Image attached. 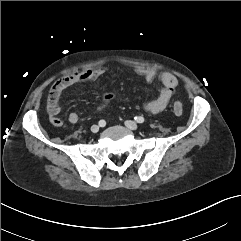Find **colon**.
Masks as SVG:
<instances>
[{
  "label": "colon",
  "instance_id": "colon-1",
  "mask_svg": "<svg viewBox=\"0 0 241 241\" xmlns=\"http://www.w3.org/2000/svg\"><path fill=\"white\" fill-rule=\"evenodd\" d=\"M112 97L113 101H118L119 100V95L118 94H108V93H103L102 94V100L103 101H108ZM173 112L176 115H181L183 113V105L181 102L176 101L173 104Z\"/></svg>",
  "mask_w": 241,
  "mask_h": 241
}]
</instances>
